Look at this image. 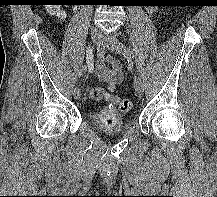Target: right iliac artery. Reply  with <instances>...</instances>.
<instances>
[{
	"label": "right iliac artery",
	"instance_id": "1",
	"mask_svg": "<svg viewBox=\"0 0 217 197\" xmlns=\"http://www.w3.org/2000/svg\"><path fill=\"white\" fill-rule=\"evenodd\" d=\"M102 47H103V45L101 43H99L97 46V54L101 51ZM85 72H86V66H83L78 72L79 79L83 77Z\"/></svg>",
	"mask_w": 217,
	"mask_h": 197
}]
</instances>
